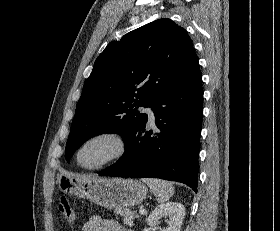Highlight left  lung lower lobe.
Here are the masks:
<instances>
[{"label":"left lung lower lobe","mask_w":280,"mask_h":231,"mask_svg":"<svg viewBox=\"0 0 280 231\" xmlns=\"http://www.w3.org/2000/svg\"><path fill=\"white\" fill-rule=\"evenodd\" d=\"M202 103V73L198 69L152 104L159 130H145L146 115L124 141L125 154L99 174L161 178L184 183L197 193Z\"/></svg>","instance_id":"obj_1"}]
</instances>
